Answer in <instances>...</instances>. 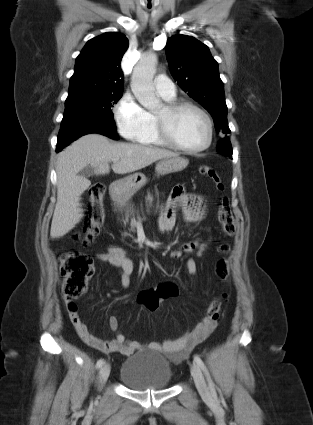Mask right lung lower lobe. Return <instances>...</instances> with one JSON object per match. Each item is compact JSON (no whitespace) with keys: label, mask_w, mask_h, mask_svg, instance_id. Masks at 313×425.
Returning <instances> with one entry per match:
<instances>
[{"label":"right lung lower lobe","mask_w":313,"mask_h":425,"mask_svg":"<svg viewBox=\"0 0 313 425\" xmlns=\"http://www.w3.org/2000/svg\"><path fill=\"white\" fill-rule=\"evenodd\" d=\"M90 133H98L112 139H118L113 118H105L100 114L71 110L63 116L56 152H60L72 141Z\"/></svg>","instance_id":"1"}]
</instances>
